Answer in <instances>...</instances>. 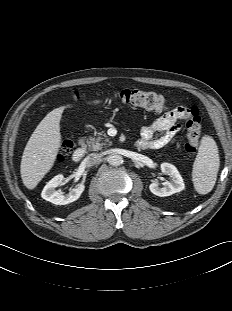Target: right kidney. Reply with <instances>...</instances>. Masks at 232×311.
Wrapping results in <instances>:
<instances>
[{
	"mask_svg": "<svg viewBox=\"0 0 232 311\" xmlns=\"http://www.w3.org/2000/svg\"><path fill=\"white\" fill-rule=\"evenodd\" d=\"M63 180V175L52 178L44 187L41 193L42 198L56 205H65L76 201L84 191V184H78L68 194L63 195L60 191L55 190L56 187L62 185Z\"/></svg>",
	"mask_w": 232,
	"mask_h": 311,
	"instance_id": "ca27d5eb",
	"label": "right kidney"
}]
</instances>
